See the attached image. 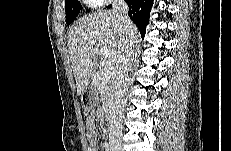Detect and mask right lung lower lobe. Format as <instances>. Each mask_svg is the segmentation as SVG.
<instances>
[{
  "label": "right lung lower lobe",
  "instance_id": "obj_1",
  "mask_svg": "<svg viewBox=\"0 0 231 151\" xmlns=\"http://www.w3.org/2000/svg\"><path fill=\"white\" fill-rule=\"evenodd\" d=\"M126 3L129 6V17L138 27L141 37L144 38L153 0H126Z\"/></svg>",
  "mask_w": 231,
  "mask_h": 151
}]
</instances>
